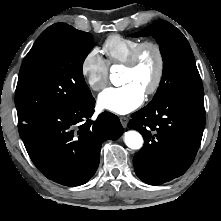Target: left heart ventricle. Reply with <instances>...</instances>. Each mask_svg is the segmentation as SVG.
Instances as JSON below:
<instances>
[{
  "mask_svg": "<svg viewBox=\"0 0 221 221\" xmlns=\"http://www.w3.org/2000/svg\"><path fill=\"white\" fill-rule=\"evenodd\" d=\"M157 67L156 55L152 49H146L134 69H124L122 83H136L144 92L154 80Z\"/></svg>",
  "mask_w": 221,
  "mask_h": 221,
  "instance_id": "obj_1",
  "label": "left heart ventricle"
}]
</instances>
